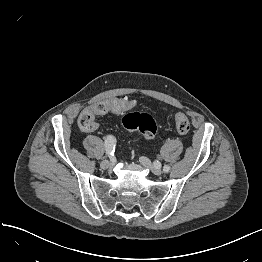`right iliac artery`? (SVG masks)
Masks as SVG:
<instances>
[{
  "label": "right iliac artery",
  "instance_id": "obj_1",
  "mask_svg": "<svg viewBox=\"0 0 262 262\" xmlns=\"http://www.w3.org/2000/svg\"><path fill=\"white\" fill-rule=\"evenodd\" d=\"M115 146H116V139H115V137L112 136V135H108L105 138L104 147H105L106 153L109 156H113L114 155Z\"/></svg>",
  "mask_w": 262,
  "mask_h": 262
}]
</instances>
